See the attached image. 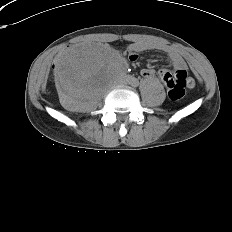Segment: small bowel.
<instances>
[{
  "label": "small bowel",
  "mask_w": 232,
  "mask_h": 232,
  "mask_svg": "<svg viewBox=\"0 0 232 232\" xmlns=\"http://www.w3.org/2000/svg\"><path fill=\"white\" fill-rule=\"evenodd\" d=\"M128 50L132 53V61L136 60L135 53L148 51V50H160L164 51L168 55V60L174 68L175 73L172 74L168 69H161L158 71V75L163 82L174 75H185L187 76V66L183 60L180 52L174 48L164 46L158 42L146 41V40H136L132 42ZM141 75L146 79H151L155 75V71L152 69H143ZM194 85V82L191 86Z\"/></svg>",
  "instance_id": "1"
}]
</instances>
